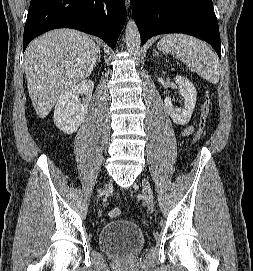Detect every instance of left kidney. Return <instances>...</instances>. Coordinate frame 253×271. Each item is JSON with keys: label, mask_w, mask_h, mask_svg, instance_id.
<instances>
[{"label": "left kidney", "mask_w": 253, "mask_h": 271, "mask_svg": "<svg viewBox=\"0 0 253 271\" xmlns=\"http://www.w3.org/2000/svg\"><path fill=\"white\" fill-rule=\"evenodd\" d=\"M174 79L178 85L179 93L184 99V106L181 109L174 107L171 97L164 99V105L174 123L186 125L190 121L195 109L197 91L193 83L186 77L177 75Z\"/></svg>", "instance_id": "obj_1"}]
</instances>
